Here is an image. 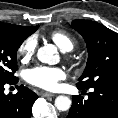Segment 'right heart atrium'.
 <instances>
[{
	"label": "right heart atrium",
	"mask_w": 118,
	"mask_h": 118,
	"mask_svg": "<svg viewBox=\"0 0 118 118\" xmlns=\"http://www.w3.org/2000/svg\"><path fill=\"white\" fill-rule=\"evenodd\" d=\"M37 37L30 35L26 37L19 45L17 54L22 62H28L32 59L37 48Z\"/></svg>",
	"instance_id": "d8ad5b80"
}]
</instances>
